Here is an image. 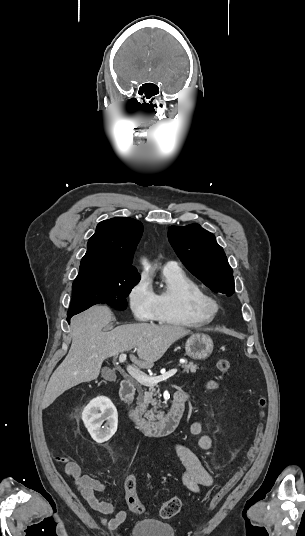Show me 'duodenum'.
<instances>
[{"instance_id":"duodenum-1","label":"duodenum","mask_w":305,"mask_h":536,"mask_svg":"<svg viewBox=\"0 0 305 536\" xmlns=\"http://www.w3.org/2000/svg\"><path fill=\"white\" fill-rule=\"evenodd\" d=\"M134 395L133 382L125 380L120 389V399L127 406L126 413L129 420L139 432L150 437H160L169 434L177 427L186 402V395L183 391H177L174 394L169 411L156 422L147 421L129 407Z\"/></svg>"}]
</instances>
